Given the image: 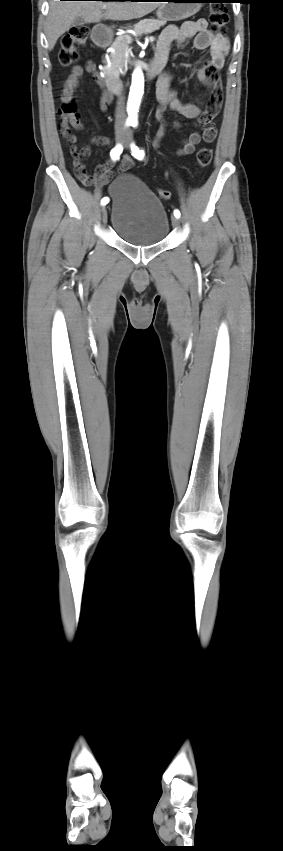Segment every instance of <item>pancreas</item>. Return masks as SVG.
<instances>
[{
  "mask_svg": "<svg viewBox=\"0 0 283 851\" xmlns=\"http://www.w3.org/2000/svg\"><path fill=\"white\" fill-rule=\"evenodd\" d=\"M166 24L165 21L147 19L141 21L134 26V31L138 35L151 33L153 31L158 30L161 26ZM129 35L124 34L115 39L113 44L111 45V52L107 58L103 61L105 64L104 73L107 75L117 74L119 75L123 70L125 65V53L128 51L130 41H128L127 37ZM130 37V36H129ZM110 63V66H108Z\"/></svg>",
  "mask_w": 283,
  "mask_h": 851,
  "instance_id": "pancreas-1",
  "label": "pancreas"
}]
</instances>
